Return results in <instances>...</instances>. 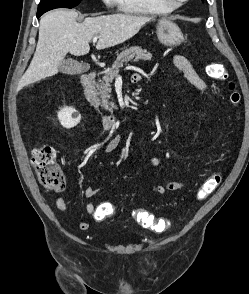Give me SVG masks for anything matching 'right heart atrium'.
Segmentation results:
<instances>
[{
  "instance_id": "right-heart-atrium-1",
  "label": "right heart atrium",
  "mask_w": 249,
  "mask_h": 294,
  "mask_svg": "<svg viewBox=\"0 0 249 294\" xmlns=\"http://www.w3.org/2000/svg\"><path fill=\"white\" fill-rule=\"evenodd\" d=\"M103 1L109 6L115 2V0H103Z\"/></svg>"
}]
</instances>
